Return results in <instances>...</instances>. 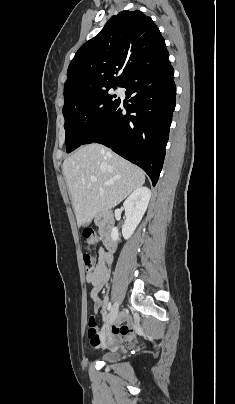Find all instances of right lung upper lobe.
Instances as JSON below:
<instances>
[{"label":"right lung upper lobe","instance_id":"right-lung-upper-lobe-1","mask_svg":"<svg viewBox=\"0 0 235 404\" xmlns=\"http://www.w3.org/2000/svg\"><path fill=\"white\" fill-rule=\"evenodd\" d=\"M167 56L164 38L152 19L139 10L122 11L75 54L64 86L65 103L121 85L132 74Z\"/></svg>","mask_w":235,"mask_h":404}]
</instances>
